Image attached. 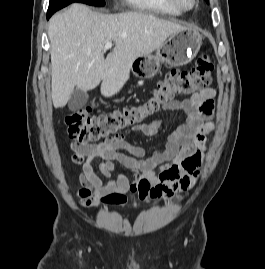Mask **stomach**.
I'll return each instance as SVG.
<instances>
[{"label":"stomach","instance_id":"stomach-1","mask_svg":"<svg viewBox=\"0 0 265 269\" xmlns=\"http://www.w3.org/2000/svg\"><path fill=\"white\" fill-rule=\"evenodd\" d=\"M202 35L194 28H188L170 35L156 50V54L136 58L131 70L136 77L152 78L160 69V63L172 67L184 66L197 55L202 45Z\"/></svg>","mask_w":265,"mask_h":269}]
</instances>
